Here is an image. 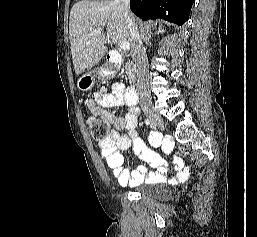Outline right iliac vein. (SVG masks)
Returning <instances> with one entry per match:
<instances>
[{
  "instance_id": "right-iliac-vein-1",
  "label": "right iliac vein",
  "mask_w": 257,
  "mask_h": 237,
  "mask_svg": "<svg viewBox=\"0 0 257 237\" xmlns=\"http://www.w3.org/2000/svg\"><path fill=\"white\" fill-rule=\"evenodd\" d=\"M144 112L155 127H162V118L152 107H145Z\"/></svg>"
}]
</instances>
